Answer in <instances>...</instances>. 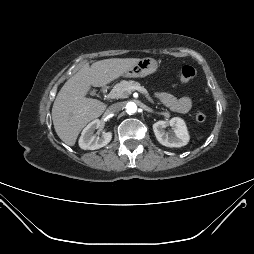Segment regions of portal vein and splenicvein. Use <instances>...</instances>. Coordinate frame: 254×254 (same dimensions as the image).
Returning <instances> with one entry per match:
<instances>
[{
  "instance_id": "18ae733b",
  "label": "portal vein and splenic vein",
  "mask_w": 254,
  "mask_h": 254,
  "mask_svg": "<svg viewBox=\"0 0 254 254\" xmlns=\"http://www.w3.org/2000/svg\"><path fill=\"white\" fill-rule=\"evenodd\" d=\"M131 89L132 90H137V91L145 94L147 97H149L148 91L145 88L141 87V86L133 87Z\"/></svg>"
}]
</instances>
